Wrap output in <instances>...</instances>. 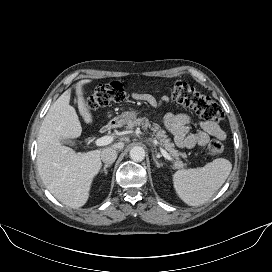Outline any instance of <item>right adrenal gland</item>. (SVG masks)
<instances>
[{
	"label": "right adrenal gland",
	"instance_id": "obj_1",
	"mask_svg": "<svg viewBox=\"0 0 272 272\" xmlns=\"http://www.w3.org/2000/svg\"><path fill=\"white\" fill-rule=\"evenodd\" d=\"M111 165H112L111 163L110 164H105L101 172H104L105 175H107V168L110 167Z\"/></svg>",
	"mask_w": 272,
	"mask_h": 272
}]
</instances>
